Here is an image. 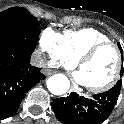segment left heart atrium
Masks as SVG:
<instances>
[{
  "label": "left heart atrium",
  "mask_w": 124,
  "mask_h": 124,
  "mask_svg": "<svg viewBox=\"0 0 124 124\" xmlns=\"http://www.w3.org/2000/svg\"><path fill=\"white\" fill-rule=\"evenodd\" d=\"M74 79H75V81H76L78 84L85 85L84 80H83V77H82V74H81L80 72H77V73L74 75Z\"/></svg>",
  "instance_id": "left-heart-atrium-1"
}]
</instances>
